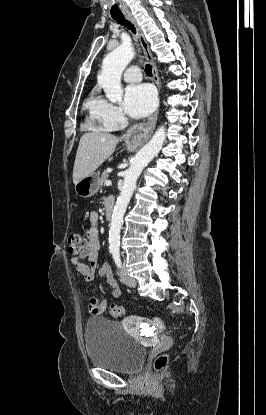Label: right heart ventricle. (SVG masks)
<instances>
[{
	"label": "right heart ventricle",
	"mask_w": 266,
	"mask_h": 415,
	"mask_svg": "<svg viewBox=\"0 0 266 415\" xmlns=\"http://www.w3.org/2000/svg\"><path fill=\"white\" fill-rule=\"evenodd\" d=\"M92 100H93V99H90V100L88 101V107L90 106V104H91Z\"/></svg>",
	"instance_id": "1"
}]
</instances>
